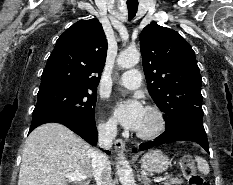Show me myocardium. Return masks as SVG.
I'll return each mask as SVG.
<instances>
[{"instance_id": "myocardium-1", "label": "myocardium", "mask_w": 233, "mask_h": 185, "mask_svg": "<svg viewBox=\"0 0 233 185\" xmlns=\"http://www.w3.org/2000/svg\"><path fill=\"white\" fill-rule=\"evenodd\" d=\"M145 110L151 112L157 120L156 126L154 129L148 132H136V136L143 140L155 139L162 134L166 127V117L164 112L157 106L148 105Z\"/></svg>"}]
</instances>
